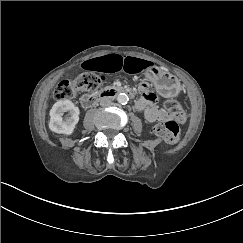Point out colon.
I'll use <instances>...</instances> for the list:
<instances>
[{
	"label": "colon",
	"instance_id": "5ec220e1",
	"mask_svg": "<svg viewBox=\"0 0 243 243\" xmlns=\"http://www.w3.org/2000/svg\"><path fill=\"white\" fill-rule=\"evenodd\" d=\"M103 77L92 73H82L72 81L60 82L54 90L56 100H68L77 97L81 91L92 92L99 88ZM165 108L171 115V119L157 124L154 133L168 144H175L180 137L179 124L186 121V114L181 104L173 99L165 101Z\"/></svg>",
	"mask_w": 243,
	"mask_h": 243
}]
</instances>
